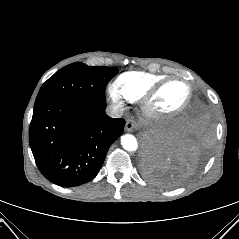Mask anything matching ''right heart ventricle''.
<instances>
[{
    "instance_id": "right-heart-ventricle-1",
    "label": "right heart ventricle",
    "mask_w": 239,
    "mask_h": 239,
    "mask_svg": "<svg viewBox=\"0 0 239 239\" xmlns=\"http://www.w3.org/2000/svg\"><path fill=\"white\" fill-rule=\"evenodd\" d=\"M167 76L142 71H128L116 79V86L129 101L140 100L152 87Z\"/></svg>"
}]
</instances>
